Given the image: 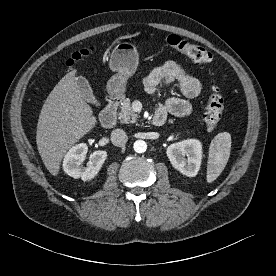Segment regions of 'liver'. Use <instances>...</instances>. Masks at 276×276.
I'll list each match as a JSON object with an SVG mask.
<instances>
[{"instance_id":"1","label":"liver","mask_w":276,"mask_h":276,"mask_svg":"<svg viewBox=\"0 0 276 276\" xmlns=\"http://www.w3.org/2000/svg\"><path fill=\"white\" fill-rule=\"evenodd\" d=\"M76 70L67 73L51 91L41 109L36 143L47 170L59 173L65 153L96 125L92 108L75 83Z\"/></svg>"}]
</instances>
